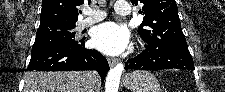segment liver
Instances as JSON below:
<instances>
[{
  "label": "liver",
  "mask_w": 225,
  "mask_h": 92,
  "mask_svg": "<svg viewBox=\"0 0 225 92\" xmlns=\"http://www.w3.org/2000/svg\"><path fill=\"white\" fill-rule=\"evenodd\" d=\"M99 82L93 71L28 72L24 92H97Z\"/></svg>",
  "instance_id": "6515ba94"
}]
</instances>
